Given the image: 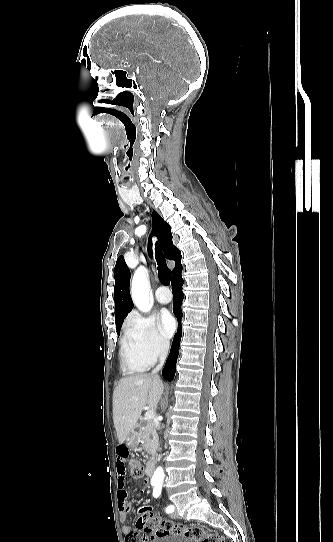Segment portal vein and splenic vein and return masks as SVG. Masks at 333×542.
<instances>
[{"label":"portal vein and splenic vein","mask_w":333,"mask_h":542,"mask_svg":"<svg viewBox=\"0 0 333 542\" xmlns=\"http://www.w3.org/2000/svg\"><path fill=\"white\" fill-rule=\"evenodd\" d=\"M145 418H147V420H153V418H155V410H147Z\"/></svg>","instance_id":"portal-vein-and-splenic-vein-1"}]
</instances>
